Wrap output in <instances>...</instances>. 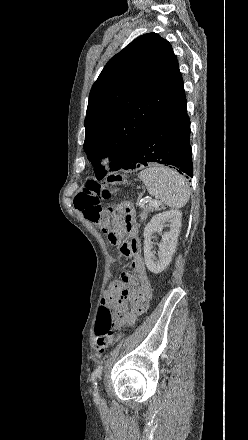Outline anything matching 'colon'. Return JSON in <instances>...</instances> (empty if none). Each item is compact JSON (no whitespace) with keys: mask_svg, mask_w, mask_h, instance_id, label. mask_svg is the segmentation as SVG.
<instances>
[{"mask_svg":"<svg viewBox=\"0 0 248 440\" xmlns=\"http://www.w3.org/2000/svg\"><path fill=\"white\" fill-rule=\"evenodd\" d=\"M121 180V176H113L108 179V182H117ZM109 191L99 181H88L85 188L76 195L74 205L84 217L97 224L103 232L108 234V239L112 244H118L119 236L112 228L111 218L114 213V208L109 206L103 211L100 205L101 198H108ZM123 204L121 205V208ZM114 315L109 307L101 305L98 310L97 320L95 324V333L97 336V350L100 355L108 352L114 342V333L112 326L114 322Z\"/></svg>","mask_w":248,"mask_h":440,"instance_id":"obj_1","label":"colon"}]
</instances>
